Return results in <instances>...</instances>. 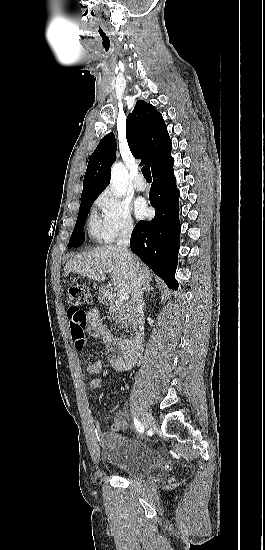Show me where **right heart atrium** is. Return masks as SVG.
Here are the masks:
<instances>
[{"label": "right heart atrium", "mask_w": 265, "mask_h": 550, "mask_svg": "<svg viewBox=\"0 0 265 550\" xmlns=\"http://www.w3.org/2000/svg\"><path fill=\"white\" fill-rule=\"evenodd\" d=\"M95 204L101 212L102 229L107 241L132 233L134 222L126 200L107 189L100 194Z\"/></svg>", "instance_id": "d8ad5b80"}]
</instances>
